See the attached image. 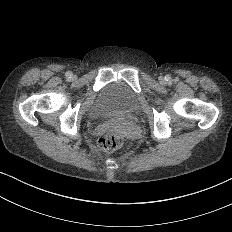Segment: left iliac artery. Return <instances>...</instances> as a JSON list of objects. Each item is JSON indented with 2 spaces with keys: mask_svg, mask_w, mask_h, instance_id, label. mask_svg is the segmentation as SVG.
<instances>
[{
  "mask_svg": "<svg viewBox=\"0 0 232 232\" xmlns=\"http://www.w3.org/2000/svg\"><path fill=\"white\" fill-rule=\"evenodd\" d=\"M166 80L168 81L169 79H171V77L169 75H167L166 77Z\"/></svg>",
  "mask_w": 232,
  "mask_h": 232,
  "instance_id": "left-iliac-artery-1",
  "label": "left iliac artery"
}]
</instances>
